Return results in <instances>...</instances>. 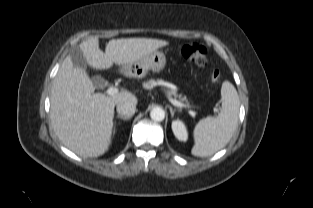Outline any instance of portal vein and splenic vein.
<instances>
[{
    "label": "portal vein and splenic vein",
    "instance_id": "obj_1",
    "mask_svg": "<svg viewBox=\"0 0 313 208\" xmlns=\"http://www.w3.org/2000/svg\"><path fill=\"white\" fill-rule=\"evenodd\" d=\"M118 93H119V89L116 88V87H110V88H108L106 90V94L109 95V96H114V95H116ZM169 101L176 107H180V108L190 107L189 105H186V104H184V103H182V102H180V101H178L176 99H173V98H169ZM216 110H217V108L215 107L214 111H216ZM189 113L191 115H194V113L192 111H189Z\"/></svg>",
    "mask_w": 313,
    "mask_h": 208
}]
</instances>
